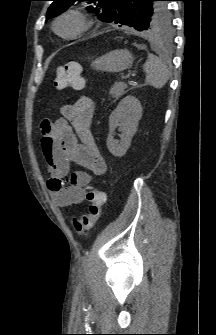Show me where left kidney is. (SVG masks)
I'll use <instances>...</instances> for the list:
<instances>
[{
	"label": "left kidney",
	"mask_w": 216,
	"mask_h": 335,
	"mask_svg": "<svg viewBox=\"0 0 216 335\" xmlns=\"http://www.w3.org/2000/svg\"><path fill=\"white\" fill-rule=\"evenodd\" d=\"M142 117V106L134 96L123 98L109 117V135L107 148L115 157H122L130 147L132 138L137 131L139 120ZM121 131L120 141L113 138L116 128Z\"/></svg>",
	"instance_id": "obj_1"
}]
</instances>
